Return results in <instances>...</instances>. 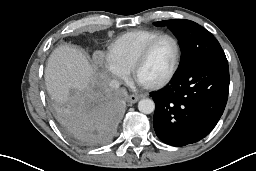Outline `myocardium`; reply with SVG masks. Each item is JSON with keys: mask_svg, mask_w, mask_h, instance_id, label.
I'll use <instances>...</instances> for the list:
<instances>
[{"mask_svg": "<svg viewBox=\"0 0 256 171\" xmlns=\"http://www.w3.org/2000/svg\"><path fill=\"white\" fill-rule=\"evenodd\" d=\"M164 38H168V39L172 40V42L174 43V46H175V59H174V63H173V66H172L170 72L167 74L166 77H164L160 81H157L154 83H149V84L140 82L138 80V72H139L140 68L147 61L154 46L160 40H162ZM180 62H181V47H180L179 41L173 35L164 33V34L158 35L157 37L153 38L151 41H149L147 43V45L143 48V50L141 51V53L135 60L133 66L131 68V72H132V76H133L134 80L137 83H139L142 87L147 88V89H153V90L159 89V88L166 86L174 78V76L176 75V73L179 69Z\"/></svg>", "mask_w": 256, "mask_h": 171, "instance_id": "obj_1", "label": "myocardium"}]
</instances>
